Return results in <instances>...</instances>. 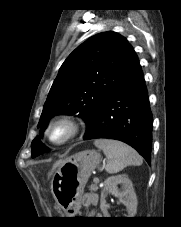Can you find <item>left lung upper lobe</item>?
<instances>
[{"mask_svg": "<svg viewBox=\"0 0 181 227\" xmlns=\"http://www.w3.org/2000/svg\"><path fill=\"white\" fill-rule=\"evenodd\" d=\"M136 60L132 46L112 31L96 34L78 46L62 64L50 89L38 124L40 133L61 113H79L87 122L88 133L103 104ZM31 149L32 157L49 151L38 136Z\"/></svg>", "mask_w": 181, "mask_h": 227, "instance_id": "1", "label": "left lung upper lobe"}]
</instances>
